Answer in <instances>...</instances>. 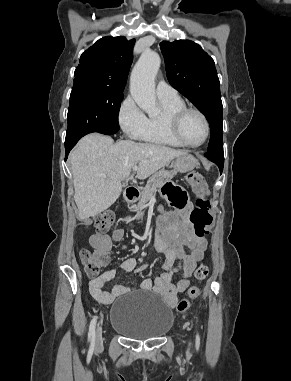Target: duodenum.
Returning a JSON list of instances; mask_svg holds the SVG:
<instances>
[{"mask_svg": "<svg viewBox=\"0 0 291 381\" xmlns=\"http://www.w3.org/2000/svg\"><path fill=\"white\" fill-rule=\"evenodd\" d=\"M139 195V190L136 187H128L125 190L124 198L127 203H133Z\"/></svg>", "mask_w": 291, "mask_h": 381, "instance_id": "obj_1", "label": "duodenum"}]
</instances>
